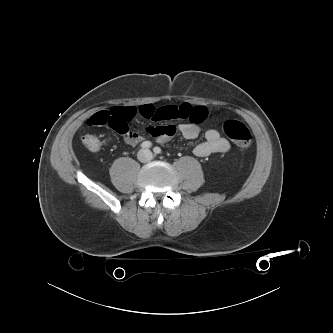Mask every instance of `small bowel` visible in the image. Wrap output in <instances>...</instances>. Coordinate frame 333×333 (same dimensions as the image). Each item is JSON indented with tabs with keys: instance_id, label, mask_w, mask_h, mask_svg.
<instances>
[{
	"instance_id": "c3829d8e",
	"label": "small bowel",
	"mask_w": 333,
	"mask_h": 333,
	"mask_svg": "<svg viewBox=\"0 0 333 333\" xmlns=\"http://www.w3.org/2000/svg\"><path fill=\"white\" fill-rule=\"evenodd\" d=\"M127 109L129 108L114 107L110 110L99 111L89 117L88 124L90 126H101L98 121V115L102 112H107L112 117V122L109 126L121 133L128 145L135 146L142 142L144 137L138 132L132 131L124 121ZM138 111L144 118L157 123L148 127L147 132L161 144L171 141L177 132L185 139H196L200 134L199 125L208 117L206 107L194 106L189 103L162 108H155L153 105H143L138 108ZM174 120H186V122L174 125L171 123ZM230 147L229 141L222 137L216 129H208L205 132L204 140L195 146L194 154L198 157H207L214 153H226L230 150Z\"/></svg>"
}]
</instances>
